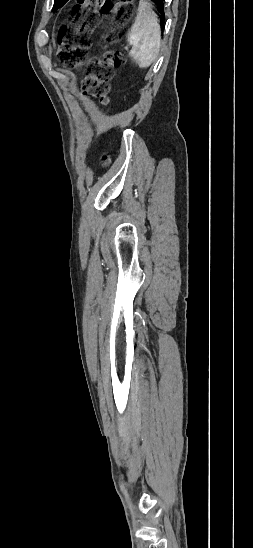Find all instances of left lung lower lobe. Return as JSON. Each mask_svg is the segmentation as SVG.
<instances>
[{
    "label": "left lung lower lobe",
    "mask_w": 253,
    "mask_h": 548,
    "mask_svg": "<svg viewBox=\"0 0 253 548\" xmlns=\"http://www.w3.org/2000/svg\"><path fill=\"white\" fill-rule=\"evenodd\" d=\"M68 0H62L60 3H58L55 7H54V10H57L58 8L62 7ZM155 5L157 6V9L161 12L162 14V21H161V26L163 27L164 26V11H163V8H164V0H152Z\"/></svg>",
    "instance_id": "0a47b994"
}]
</instances>
